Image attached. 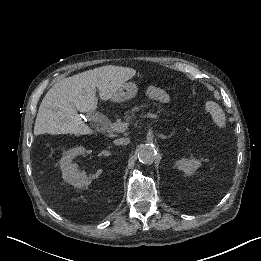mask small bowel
I'll return each mask as SVG.
<instances>
[{"label":"small bowel","mask_w":261,"mask_h":261,"mask_svg":"<svg viewBox=\"0 0 261 261\" xmlns=\"http://www.w3.org/2000/svg\"><path fill=\"white\" fill-rule=\"evenodd\" d=\"M145 92H146V95L153 100H156V101H159L162 103H166L169 101L168 93L160 87L149 86L146 88Z\"/></svg>","instance_id":"obj_1"}]
</instances>
